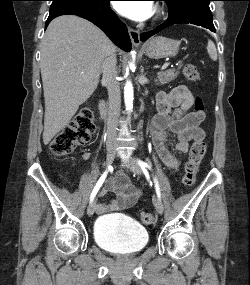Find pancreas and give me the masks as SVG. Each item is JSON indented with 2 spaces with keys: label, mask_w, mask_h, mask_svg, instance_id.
<instances>
[{
  "label": "pancreas",
  "mask_w": 250,
  "mask_h": 285,
  "mask_svg": "<svg viewBox=\"0 0 250 285\" xmlns=\"http://www.w3.org/2000/svg\"><path fill=\"white\" fill-rule=\"evenodd\" d=\"M178 75H179V68L177 70L169 69L166 71H161L157 73V79L155 80V82L158 85H164L175 80Z\"/></svg>",
  "instance_id": "1"
}]
</instances>
